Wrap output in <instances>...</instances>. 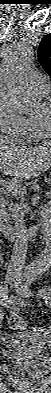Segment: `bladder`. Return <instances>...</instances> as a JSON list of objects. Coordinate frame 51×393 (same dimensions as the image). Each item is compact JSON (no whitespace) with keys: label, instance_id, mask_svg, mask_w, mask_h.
Returning <instances> with one entry per match:
<instances>
[{"label":"bladder","instance_id":"1","mask_svg":"<svg viewBox=\"0 0 51 393\" xmlns=\"http://www.w3.org/2000/svg\"><path fill=\"white\" fill-rule=\"evenodd\" d=\"M38 360H25L16 365L20 378L18 382L33 384L47 376L51 371V362L43 352L37 354Z\"/></svg>","mask_w":51,"mask_h":393}]
</instances>
